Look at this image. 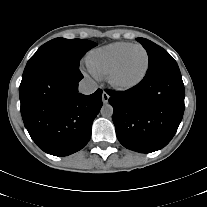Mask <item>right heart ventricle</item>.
I'll use <instances>...</instances> for the list:
<instances>
[{"mask_svg":"<svg viewBox=\"0 0 207 207\" xmlns=\"http://www.w3.org/2000/svg\"><path fill=\"white\" fill-rule=\"evenodd\" d=\"M132 45L130 42H115L92 51L87 64L96 77L107 75L118 57Z\"/></svg>","mask_w":207,"mask_h":207,"instance_id":"e07e8e85","label":"right heart ventricle"}]
</instances>
